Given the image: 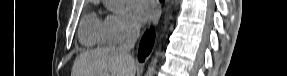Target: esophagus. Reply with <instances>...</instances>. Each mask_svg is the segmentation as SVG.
Returning a JSON list of instances; mask_svg holds the SVG:
<instances>
[{
  "mask_svg": "<svg viewBox=\"0 0 287 76\" xmlns=\"http://www.w3.org/2000/svg\"><path fill=\"white\" fill-rule=\"evenodd\" d=\"M161 13H162V6L161 4L158 2V6H157V11H156V14L152 20V24L155 25L158 23L159 19H160V16H161Z\"/></svg>",
  "mask_w": 287,
  "mask_h": 76,
  "instance_id": "1",
  "label": "esophagus"
}]
</instances>
